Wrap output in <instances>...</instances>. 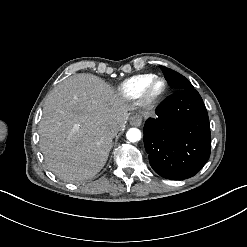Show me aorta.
I'll list each match as a JSON object with an SVG mask.
<instances>
[{
  "label": "aorta",
  "mask_w": 247,
  "mask_h": 247,
  "mask_svg": "<svg viewBox=\"0 0 247 247\" xmlns=\"http://www.w3.org/2000/svg\"><path fill=\"white\" fill-rule=\"evenodd\" d=\"M126 138L129 142H138L141 139V131L137 128H131L128 130Z\"/></svg>",
  "instance_id": "obj_1"
}]
</instances>
